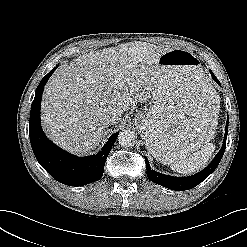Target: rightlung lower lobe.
<instances>
[{"instance_id":"obj_1","label":"right lung lower lobe","mask_w":247,"mask_h":247,"mask_svg":"<svg viewBox=\"0 0 247 247\" xmlns=\"http://www.w3.org/2000/svg\"><path fill=\"white\" fill-rule=\"evenodd\" d=\"M55 69L41 80L35 91L29 121L30 142L37 161L54 179L68 186H82L102 177L105 161L119 132L110 136L101 151L88 157L74 156L48 140L41 128L40 104L44 86Z\"/></svg>"}]
</instances>
